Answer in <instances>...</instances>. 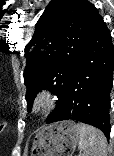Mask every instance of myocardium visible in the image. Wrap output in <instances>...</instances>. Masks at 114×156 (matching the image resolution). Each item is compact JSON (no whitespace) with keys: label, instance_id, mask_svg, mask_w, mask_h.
I'll return each instance as SVG.
<instances>
[{"label":"myocardium","instance_id":"myocardium-1","mask_svg":"<svg viewBox=\"0 0 114 156\" xmlns=\"http://www.w3.org/2000/svg\"><path fill=\"white\" fill-rule=\"evenodd\" d=\"M56 106L55 96L47 88H43L37 92L32 104L31 111L34 114L46 115Z\"/></svg>","mask_w":114,"mask_h":156}]
</instances>
